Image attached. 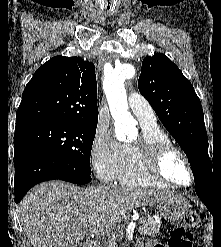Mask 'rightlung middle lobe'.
<instances>
[{
  "label": "right lung middle lobe",
  "instance_id": "obj_1",
  "mask_svg": "<svg viewBox=\"0 0 221 247\" xmlns=\"http://www.w3.org/2000/svg\"><path fill=\"white\" fill-rule=\"evenodd\" d=\"M97 125L41 123L15 129L14 142L36 145L78 171L91 174L90 153Z\"/></svg>",
  "mask_w": 221,
  "mask_h": 247
}]
</instances>
